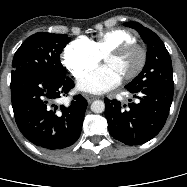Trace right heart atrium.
<instances>
[{"instance_id": "d8ad5b80", "label": "right heart atrium", "mask_w": 187, "mask_h": 187, "mask_svg": "<svg viewBox=\"0 0 187 187\" xmlns=\"http://www.w3.org/2000/svg\"><path fill=\"white\" fill-rule=\"evenodd\" d=\"M100 60L85 38L70 42L64 49L63 62L74 77H80Z\"/></svg>"}]
</instances>
